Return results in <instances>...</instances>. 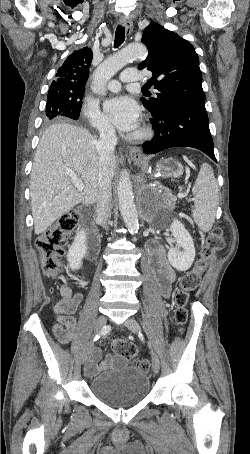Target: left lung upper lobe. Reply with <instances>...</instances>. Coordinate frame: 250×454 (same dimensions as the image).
<instances>
[{
  "instance_id": "1",
  "label": "left lung upper lobe",
  "mask_w": 250,
  "mask_h": 454,
  "mask_svg": "<svg viewBox=\"0 0 250 454\" xmlns=\"http://www.w3.org/2000/svg\"><path fill=\"white\" fill-rule=\"evenodd\" d=\"M142 42L149 55L139 69L152 72L150 81L159 91L156 98H141L152 115L175 104L205 103L199 58L188 41L152 22L145 28Z\"/></svg>"
}]
</instances>
